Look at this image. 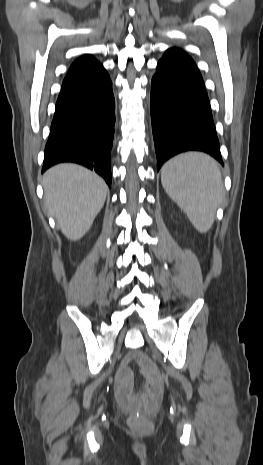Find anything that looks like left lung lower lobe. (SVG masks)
I'll return each mask as SVG.
<instances>
[{
  "mask_svg": "<svg viewBox=\"0 0 263 465\" xmlns=\"http://www.w3.org/2000/svg\"><path fill=\"white\" fill-rule=\"evenodd\" d=\"M151 120L157 170L188 150L206 152L223 165L202 76L179 49L167 50L158 62L151 86Z\"/></svg>",
  "mask_w": 263,
  "mask_h": 465,
  "instance_id": "obj_1",
  "label": "left lung lower lobe"
}]
</instances>
